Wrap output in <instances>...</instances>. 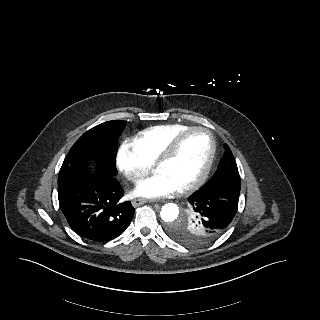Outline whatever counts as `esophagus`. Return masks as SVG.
I'll return each mask as SVG.
<instances>
[{"mask_svg": "<svg viewBox=\"0 0 320 320\" xmlns=\"http://www.w3.org/2000/svg\"><path fill=\"white\" fill-rule=\"evenodd\" d=\"M147 202H149V201L146 200V199L137 198V199H134V200H133L132 205H133L134 207H137V206H140V205L145 204V203H147Z\"/></svg>", "mask_w": 320, "mask_h": 320, "instance_id": "34e87169", "label": "esophagus"}]
</instances>
